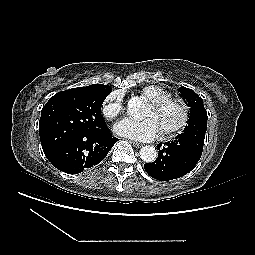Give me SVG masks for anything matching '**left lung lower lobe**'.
<instances>
[{"label": "left lung lower lobe", "instance_id": "left-lung-lower-lobe-1", "mask_svg": "<svg viewBox=\"0 0 255 255\" xmlns=\"http://www.w3.org/2000/svg\"><path fill=\"white\" fill-rule=\"evenodd\" d=\"M206 129H193L187 135H178L174 141L158 144V158L144 165L146 172L160 181L177 179L190 172L202 155Z\"/></svg>", "mask_w": 255, "mask_h": 255}]
</instances>
